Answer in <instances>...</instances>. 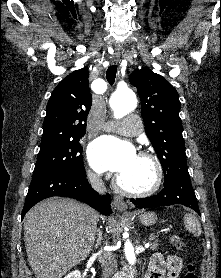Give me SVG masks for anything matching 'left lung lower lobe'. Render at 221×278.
I'll return each instance as SVG.
<instances>
[{
    "instance_id": "left-lung-lower-lobe-1",
    "label": "left lung lower lobe",
    "mask_w": 221,
    "mask_h": 278,
    "mask_svg": "<svg viewBox=\"0 0 221 278\" xmlns=\"http://www.w3.org/2000/svg\"><path fill=\"white\" fill-rule=\"evenodd\" d=\"M137 208H153L182 204L195 210L199 215L197 198L190 182L188 171H181L164 182L163 190L157 195L130 199Z\"/></svg>"
}]
</instances>
